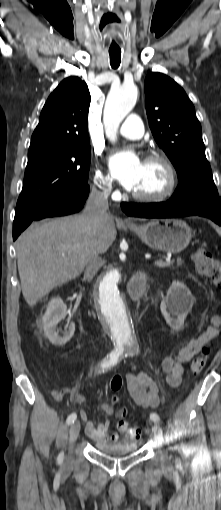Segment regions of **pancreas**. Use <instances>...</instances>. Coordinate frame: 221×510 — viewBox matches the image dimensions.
Instances as JSON below:
<instances>
[{"instance_id":"cf45deb5","label":"pancreas","mask_w":221,"mask_h":510,"mask_svg":"<svg viewBox=\"0 0 221 510\" xmlns=\"http://www.w3.org/2000/svg\"><path fill=\"white\" fill-rule=\"evenodd\" d=\"M181 264H182L181 259H178V260H177V266H180ZM169 266H170V265H167V266H165V267H169Z\"/></svg>"}]
</instances>
